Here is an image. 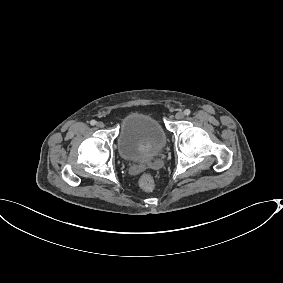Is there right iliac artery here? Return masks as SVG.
Wrapping results in <instances>:
<instances>
[{"instance_id":"obj_1","label":"right iliac artery","mask_w":283,"mask_h":283,"mask_svg":"<svg viewBox=\"0 0 283 283\" xmlns=\"http://www.w3.org/2000/svg\"><path fill=\"white\" fill-rule=\"evenodd\" d=\"M90 124H91V125H95V124H96V121H95V120H91V121H90Z\"/></svg>"}]
</instances>
